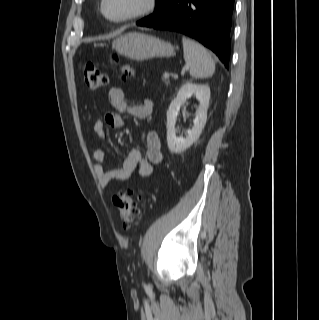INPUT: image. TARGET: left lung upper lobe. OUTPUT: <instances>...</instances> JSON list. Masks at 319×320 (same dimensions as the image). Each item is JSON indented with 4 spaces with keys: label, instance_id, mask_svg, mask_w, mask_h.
Returning a JSON list of instances; mask_svg holds the SVG:
<instances>
[{
    "label": "left lung upper lobe",
    "instance_id": "1",
    "mask_svg": "<svg viewBox=\"0 0 319 320\" xmlns=\"http://www.w3.org/2000/svg\"><path fill=\"white\" fill-rule=\"evenodd\" d=\"M163 0H156V7H158Z\"/></svg>",
    "mask_w": 319,
    "mask_h": 320
}]
</instances>
